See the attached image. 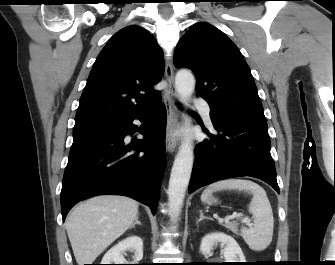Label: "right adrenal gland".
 <instances>
[{"label": "right adrenal gland", "mask_w": 335, "mask_h": 265, "mask_svg": "<svg viewBox=\"0 0 335 265\" xmlns=\"http://www.w3.org/2000/svg\"><path fill=\"white\" fill-rule=\"evenodd\" d=\"M136 224L141 225V222L138 220V216L136 217L135 222L131 225L130 229L135 228Z\"/></svg>", "instance_id": "2a0ac1e0"}]
</instances>
